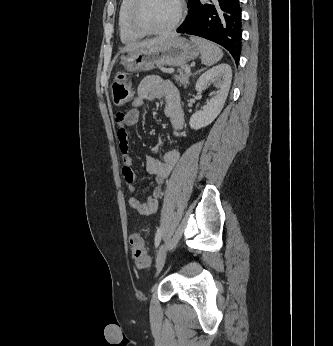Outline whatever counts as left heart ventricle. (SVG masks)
<instances>
[{"label": "left heart ventricle", "mask_w": 333, "mask_h": 346, "mask_svg": "<svg viewBox=\"0 0 333 346\" xmlns=\"http://www.w3.org/2000/svg\"><path fill=\"white\" fill-rule=\"evenodd\" d=\"M176 12V0H146L141 10V20L151 29H161L172 23Z\"/></svg>", "instance_id": "obj_1"}]
</instances>
